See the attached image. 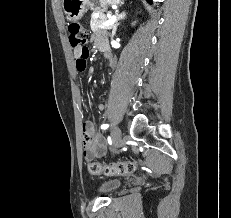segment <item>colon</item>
Returning <instances> with one entry per match:
<instances>
[{
    "mask_svg": "<svg viewBox=\"0 0 231 218\" xmlns=\"http://www.w3.org/2000/svg\"><path fill=\"white\" fill-rule=\"evenodd\" d=\"M69 42L73 48H79L81 53L78 58L82 56H89V50L86 46L88 41V32L77 21H72L68 24ZM137 164L135 161H120L111 165H104L96 161L88 163V170L91 174H104L107 176L127 175L136 170Z\"/></svg>",
    "mask_w": 231,
    "mask_h": 218,
    "instance_id": "obj_1",
    "label": "colon"
}]
</instances>
